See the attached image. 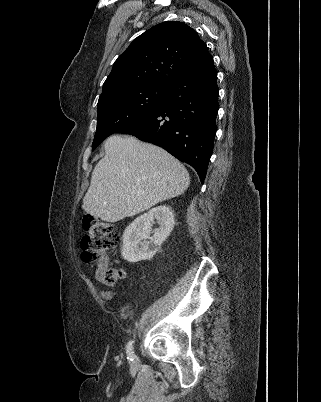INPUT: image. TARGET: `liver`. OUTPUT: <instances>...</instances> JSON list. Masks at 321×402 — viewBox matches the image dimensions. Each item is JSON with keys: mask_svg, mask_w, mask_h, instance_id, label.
<instances>
[{"mask_svg": "<svg viewBox=\"0 0 321 402\" xmlns=\"http://www.w3.org/2000/svg\"><path fill=\"white\" fill-rule=\"evenodd\" d=\"M83 198L84 211L117 222L179 196L190 185L186 168L164 149L129 135H113Z\"/></svg>", "mask_w": 321, "mask_h": 402, "instance_id": "obj_1", "label": "liver"}]
</instances>
